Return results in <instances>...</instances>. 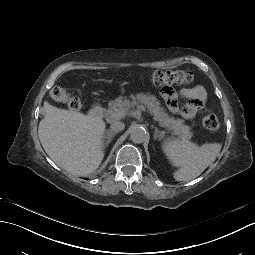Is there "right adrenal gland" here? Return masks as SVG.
I'll return each mask as SVG.
<instances>
[{
    "label": "right adrenal gland",
    "mask_w": 255,
    "mask_h": 255,
    "mask_svg": "<svg viewBox=\"0 0 255 255\" xmlns=\"http://www.w3.org/2000/svg\"><path fill=\"white\" fill-rule=\"evenodd\" d=\"M116 134V132L112 131V130H108L106 131V133L103 135V139H108L105 143V147L109 145V143L111 142L113 136Z\"/></svg>",
    "instance_id": "2a0ac1e0"
}]
</instances>
